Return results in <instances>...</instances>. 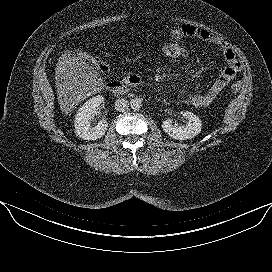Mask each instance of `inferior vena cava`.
I'll return each instance as SVG.
<instances>
[{
	"label": "inferior vena cava",
	"mask_w": 272,
	"mask_h": 272,
	"mask_svg": "<svg viewBox=\"0 0 272 272\" xmlns=\"http://www.w3.org/2000/svg\"><path fill=\"white\" fill-rule=\"evenodd\" d=\"M128 107H129V102L124 98L117 99L115 101V109L118 112H124Z\"/></svg>",
	"instance_id": "obj_1"
}]
</instances>
